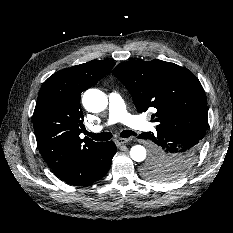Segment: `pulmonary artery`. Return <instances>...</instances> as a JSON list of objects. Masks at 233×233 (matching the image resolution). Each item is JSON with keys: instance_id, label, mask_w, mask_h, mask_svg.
<instances>
[{"instance_id": "e3ab8cb5", "label": "pulmonary artery", "mask_w": 233, "mask_h": 233, "mask_svg": "<svg viewBox=\"0 0 233 233\" xmlns=\"http://www.w3.org/2000/svg\"><path fill=\"white\" fill-rule=\"evenodd\" d=\"M109 117L106 125H112L121 122L135 130L147 132L153 130V124L141 118L140 116L132 115L127 112L125 103L117 92L109 94ZM105 126L96 125L90 128V131L100 132Z\"/></svg>"}]
</instances>
